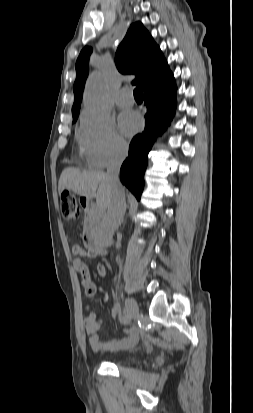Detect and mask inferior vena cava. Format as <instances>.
<instances>
[{"instance_id":"602c4592","label":"inferior vena cava","mask_w":253,"mask_h":413,"mask_svg":"<svg viewBox=\"0 0 253 413\" xmlns=\"http://www.w3.org/2000/svg\"><path fill=\"white\" fill-rule=\"evenodd\" d=\"M127 153V146L119 145L107 167L106 177L112 185L114 196L98 230L99 238L106 246L113 244V234L123 221L126 211L125 193L119 180V170Z\"/></svg>"}]
</instances>
